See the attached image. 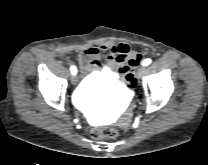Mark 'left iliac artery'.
<instances>
[{"label": "left iliac artery", "instance_id": "obj_1", "mask_svg": "<svg viewBox=\"0 0 208 165\" xmlns=\"http://www.w3.org/2000/svg\"><path fill=\"white\" fill-rule=\"evenodd\" d=\"M150 63H151V59L147 58V59H145V60L143 61L142 65H143V66H147V65H149Z\"/></svg>", "mask_w": 208, "mask_h": 165}]
</instances>
